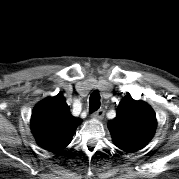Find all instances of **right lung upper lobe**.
Here are the masks:
<instances>
[{"label": "right lung upper lobe", "instance_id": "cb5924a9", "mask_svg": "<svg viewBox=\"0 0 179 179\" xmlns=\"http://www.w3.org/2000/svg\"><path fill=\"white\" fill-rule=\"evenodd\" d=\"M81 119L70 113L62 94L39 102L31 117V131L37 144L51 152H59L72 140Z\"/></svg>", "mask_w": 179, "mask_h": 179}]
</instances>
